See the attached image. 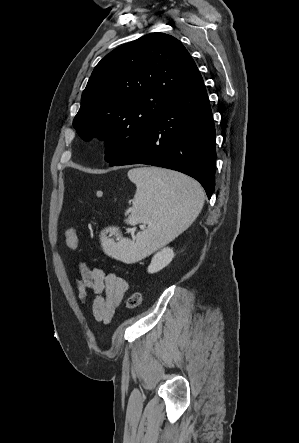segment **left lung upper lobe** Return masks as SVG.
<instances>
[{
  "label": "left lung upper lobe",
  "mask_w": 299,
  "mask_h": 443,
  "mask_svg": "<svg viewBox=\"0 0 299 443\" xmlns=\"http://www.w3.org/2000/svg\"><path fill=\"white\" fill-rule=\"evenodd\" d=\"M197 70L182 43L164 33L120 46L94 68L73 126L84 141L105 140V160L113 166Z\"/></svg>",
  "instance_id": "1"
}]
</instances>
